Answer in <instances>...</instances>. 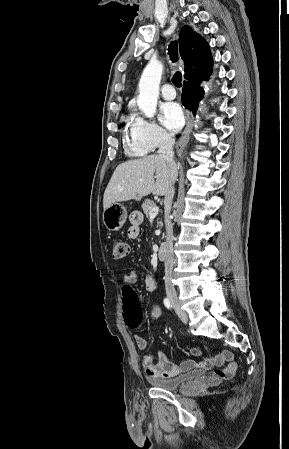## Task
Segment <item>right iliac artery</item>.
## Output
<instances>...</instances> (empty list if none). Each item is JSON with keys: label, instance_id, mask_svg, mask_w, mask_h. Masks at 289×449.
<instances>
[{"label": "right iliac artery", "instance_id": "obj_1", "mask_svg": "<svg viewBox=\"0 0 289 449\" xmlns=\"http://www.w3.org/2000/svg\"><path fill=\"white\" fill-rule=\"evenodd\" d=\"M164 305H165L166 308H168L170 310L172 309V305H171V303H170L168 298L164 299Z\"/></svg>", "mask_w": 289, "mask_h": 449}]
</instances>
